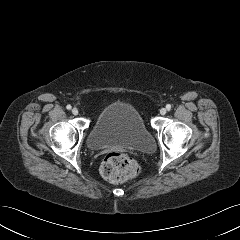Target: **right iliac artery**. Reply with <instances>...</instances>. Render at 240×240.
Masks as SVG:
<instances>
[{"instance_id":"right-iliac-artery-1","label":"right iliac artery","mask_w":240,"mask_h":240,"mask_svg":"<svg viewBox=\"0 0 240 240\" xmlns=\"http://www.w3.org/2000/svg\"><path fill=\"white\" fill-rule=\"evenodd\" d=\"M66 108H67L68 110H70V109L72 108V106H71V105H67Z\"/></svg>"}]
</instances>
